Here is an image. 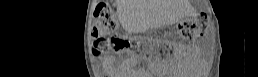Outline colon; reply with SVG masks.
<instances>
[{"instance_id": "1", "label": "colon", "mask_w": 258, "mask_h": 77, "mask_svg": "<svg viewBox=\"0 0 258 77\" xmlns=\"http://www.w3.org/2000/svg\"><path fill=\"white\" fill-rule=\"evenodd\" d=\"M207 24V16L201 14L194 21L181 24L177 32L185 39H194L204 34ZM117 26V20L109 7L99 6L95 9L92 37L96 52L105 49L120 50L124 47V42L115 36Z\"/></svg>"}]
</instances>
